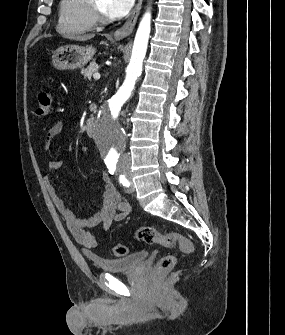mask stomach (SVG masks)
<instances>
[{
	"label": "stomach",
	"mask_w": 285,
	"mask_h": 335,
	"mask_svg": "<svg viewBox=\"0 0 285 335\" xmlns=\"http://www.w3.org/2000/svg\"><path fill=\"white\" fill-rule=\"evenodd\" d=\"M96 54L92 46H61L52 56V64L57 70H76L86 66Z\"/></svg>",
	"instance_id": "1"
}]
</instances>
